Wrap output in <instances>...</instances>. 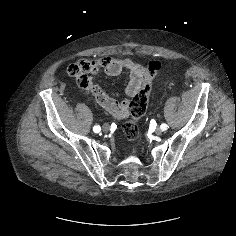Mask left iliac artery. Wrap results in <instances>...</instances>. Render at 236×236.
<instances>
[{
  "label": "left iliac artery",
  "instance_id": "1",
  "mask_svg": "<svg viewBox=\"0 0 236 236\" xmlns=\"http://www.w3.org/2000/svg\"><path fill=\"white\" fill-rule=\"evenodd\" d=\"M160 128L164 131V130H167L168 129V125L163 123L160 125Z\"/></svg>",
  "mask_w": 236,
  "mask_h": 236
}]
</instances>
